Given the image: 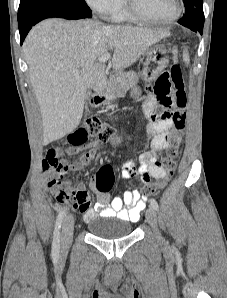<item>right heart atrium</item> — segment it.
<instances>
[{
    "label": "right heart atrium",
    "instance_id": "obj_1",
    "mask_svg": "<svg viewBox=\"0 0 227 298\" xmlns=\"http://www.w3.org/2000/svg\"><path fill=\"white\" fill-rule=\"evenodd\" d=\"M87 5L103 16H112L120 7L122 0H85Z\"/></svg>",
    "mask_w": 227,
    "mask_h": 298
}]
</instances>
